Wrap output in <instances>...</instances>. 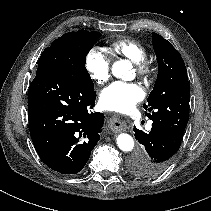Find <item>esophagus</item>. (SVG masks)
<instances>
[{
    "instance_id": "1",
    "label": "esophagus",
    "mask_w": 211,
    "mask_h": 211,
    "mask_svg": "<svg viewBox=\"0 0 211 211\" xmlns=\"http://www.w3.org/2000/svg\"><path fill=\"white\" fill-rule=\"evenodd\" d=\"M108 127L115 132H119L124 129V123L122 122L120 116L113 115L108 121Z\"/></svg>"
}]
</instances>
